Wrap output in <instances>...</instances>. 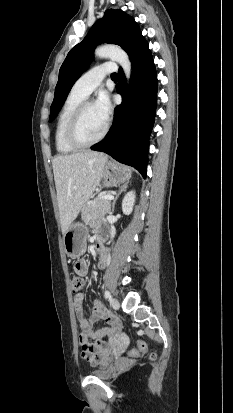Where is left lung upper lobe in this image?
<instances>
[{"label": "left lung upper lobe", "instance_id": "left-lung-upper-lobe-1", "mask_svg": "<svg viewBox=\"0 0 233 413\" xmlns=\"http://www.w3.org/2000/svg\"><path fill=\"white\" fill-rule=\"evenodd\" d=\"M144 40L138 24L132 17L121 10H107L103 18L92 26L83 41L74 46L65 58L59 70L49 122L56 117L73 84L89 66L93 58L92 51L98 43L119 45L129 54Z\"/></svg>", "mask_w": 233, "mask_h": 413}]
</instances>
